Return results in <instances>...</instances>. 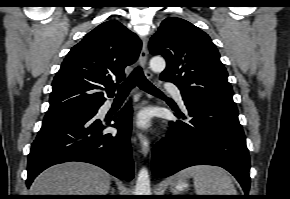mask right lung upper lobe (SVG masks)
<instances>
[{
    "mask_svg": "<svg viewBox=\"0 0 290 199\" xmlns=\"http://www.w3.org/2000/svg\"><path fill=\"white\" fill-rule=\"evenodd\" d=\"M139 38L116 20L100 24L75 45L57 72L45 115L55 116L101 106V90L113 97L115 85L125 79L124 68L140 53Z\"/></svg>",
    "mask_w": 290,
    "mask_h": 199,
    "instance_id": "1",
    "label": "right lung upper lobe"
}]
</instances>
